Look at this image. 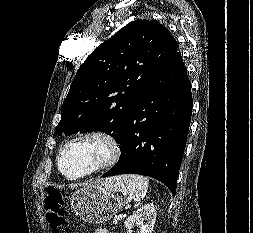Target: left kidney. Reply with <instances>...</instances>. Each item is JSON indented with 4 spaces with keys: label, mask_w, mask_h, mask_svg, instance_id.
<instances>
[{
    "label": "left kidney",
    "mask_w": 253,
    "mask_h": 233,
    "mask_svg": "<svg viewBox=\"0 0 253 233\" xmlns=\"http://www.w3.org/2000/svg\"><path fill=\"white\" fill-rule=\"evenodd\" d=\"M156 209L154 204H146L138 208L131 216L124 222V226L131 233V229L136 224L140 232L138 233H152L156 221Z\"/></svg>",
    "instance_id": "left-kidney-1"
}]
</instances>
